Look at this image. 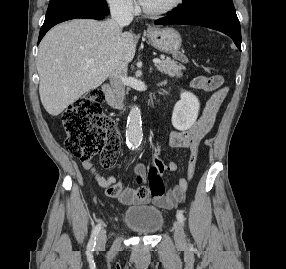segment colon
Wrapping results in <instances>:
<instances>
[{"label": "colon", "mask_w": 286, "mask_h": 269, "mask_svg": "<svg viewBox=\"0 0 286 269\" xmlns=\"http://www.w3.org/2000/svg\"><path fill=\"white\" fill-rule=\"evenodd\" d=\"M177 62H192V57H187L188 49H175ZM213 78H193L191 88H200L207 91V100H203L201 110H222L228 89L220 75L208 76ZM102 94L92 90L74 101L62 114V124L66 134V150L81 161H89L94 156H100V163L104 168L113 167L120 151L121 140L115 121L102 113ZM157 151L152 154V163H146L148 173L146 181L148 188L140 187L138 196L144 197L148 192L154 197H161L165 193L163 183L164 168L167 163H162L169 157L166 150L167 143L157 139L153 143ZM141 183L143 178L138 177ZM122 190L120 183H114L109 189L111 197H117Z\"/></svg>", "instance_id": "obj_1"}]
</instances>
